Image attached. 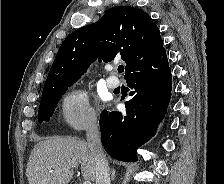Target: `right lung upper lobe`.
I'll return each mask as SVG.
<instances>
[{"instance_id":"obj_1","label":"right lung upper lobe","mask_w":224,"mask_h":184,"mask_svg":"<svg viewBox=\"0 0 224 184\" xmlns=\"http://www.w3.org/2000/svg\"><path fill=\"white\" fill-rule=\"evenodd\" d=\"M116 56L126 63L125 79L168 61L159 29L147 13L115 7L97 22L71 33L58 50L42 97L72 85L97 58L110 62Z\"/></svg>"}]
</instances>
